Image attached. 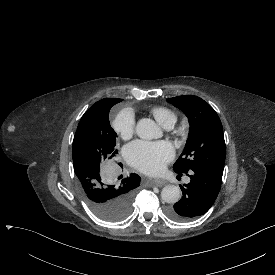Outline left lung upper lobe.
I'll return each mask as SVG.
<instances>
[{
  "mask_svg": "<svg viewBox=\"0 0 275 275\" xmlns=\"http://www.w3.org/2000/svg\"><path fill=\"white\" fill-rule=\"evenodd\" d=\"M189 119L190 129L185 148L173 165L176 173L209 168L223 171L226 147L223 127L215 110L194 95L167 99Z\"/></svg>",
  "mask_w": 275,
  "mask_h": 275,
  "instance_id": "left-lung-upper-lobe-1",
  "label": "left lung upper lobe"
}]
</instances>
